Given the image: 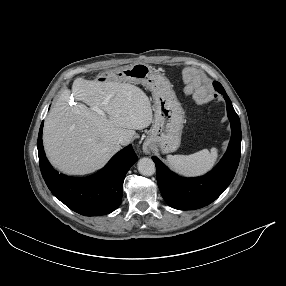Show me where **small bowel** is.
<instances>
[{
    "label": "small bowel",
    "mask_w": 286,
    "mask_h": 286,
    "mask_svg": "<svg viewBox=\"0 0 286 286\" xmlns=\"http://www.w3.org/2000/svg\"><path fill=\"white\" fill-rule=\"evenodd\" d=\"M186 74H187V75H190L191 73H190V71H187Z\"/></svg>",
    "instance_id": "c3829d8e"
}]
</instances>
